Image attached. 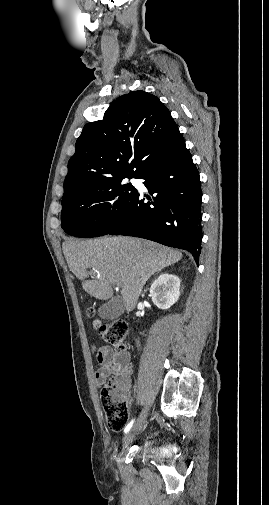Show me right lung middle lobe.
<instances>
[{
	"mask_svg": "<svg viewBox=\"0 0 269 505\" xmlns=\"http://www.w3.org/2000/svg\"><path fill=\"white\" fill-rule=\"evenodd\" d=\"M137 193L124 179L85 189L62 201L61 227L76 237L106 235L123 218Z\"/></svg>",
	"mask_w": 269,
	"mask_h": 505,
	"instance_id": "1",
	"label": "right lung middle lobe"
}]
</instances>
